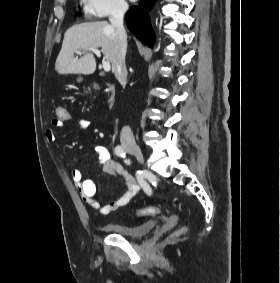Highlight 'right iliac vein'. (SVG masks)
Returning a JSON list of instances; mask_svg holds the SVG:
<instances>
[{"label": "right iliac vein", "mask_w": 280, "mask_h": 283, "mask_svg": "<svg viewBox=\"0 0 280 283\" xmlns=\"http://www.w3.org/2000/svg\"><path fill=\"white\" fill-rule=\"evenodd\" d=\"M125 148L130 154L134 155L140 163H144L143 153L137 145L127 144Z\"/></svg>", "instance_id": "1"}]
</instances>
